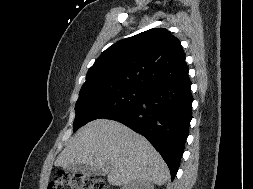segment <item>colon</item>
<instances>
[{"mask_svg": "<svg viewBox=\"0 0 253 189\" xmlns=\"http://www.w3.org/2000/svg\"><path fill=\"white\" fill-rule=\"evenodd\" d=\"M48 189H108L104 180L81 173L59 171Z\"/></svg>", "mask_w": 253, "mask_h": 189, "instance_id": "obj_1", "label": "colon"}]
</instances>
